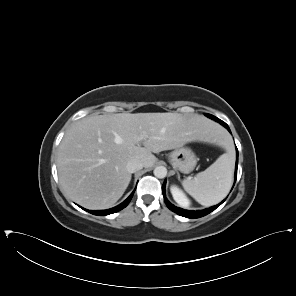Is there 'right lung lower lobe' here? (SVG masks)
I'll use <instances>...</instances> for the list:
<instances>
[{
	"instance_id": "obj_1",
	"label": "right lung lower lobe",
	"mask_w": 296,
	"mask_h": 296,
	"mask_svg": "<svg viewBox=\"0 0 296 296\" xmlns=\"http://www.w3.org/2000/svg\"><path fill=\"white\" fill-rule=\"evenodd\" d=\"M134 191L124 202H122L121 204H119L118 206H116L114 208L107 209V210H100V211H91V210H86V211H88L91 214L98 215V216H105V215H109V214L118 212L128 205V203L130 202V200L134 194Z\"/></svg>"
}]
</instances>
